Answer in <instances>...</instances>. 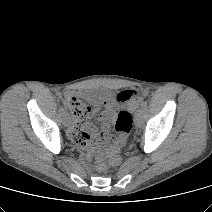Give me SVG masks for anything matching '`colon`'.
Masks as SVG:
<instances>
[{"label": "colon", "instance_id": "obj_1", "mask_svg": "<svg viewBox=\"0 0 212 212\" xmlns=\"http://www.w3.org/2000/svg\"><path fill=\"white\" fill-rule=\"evenodd\" d=\"M115 97L118 101L129 102L131 105H135L138 102V92L133 89L121 90ZM66 107L73 116H82L88 112V106L76 96L66 98ZM115 127L118 137L113 139L106 161L100 160L98 162L97 167L100 171L105 170L108 165L117 166L121 163L119 151L132 128L131 114L128 111L119 112Z\"/></svg>", "mask_w": 212, "mask_h": 212}]
</instances>
